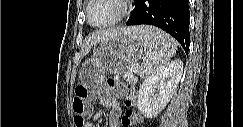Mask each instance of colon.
<instances>
[{
	"mask_svg": "<svg viewBox=\"0 0 243 127\" xmlns=\"http://www.w3.org/2000/svg\"><path fill=\"white\" fill-rule=\"evenodd\" d=\"M100 98L112 96L116 99L124 101L126 111L122 116L121 123L124 127L140 126L141 117L135 110L136 91L132 84L124 83L116 78H109L106 85L97 91ZM93 93L84 85H79L76 88V93L72 101L74 123L77 127H84L87 115L90 112L89 100Z\"/></svg>",
	"mask_w": 243,
	"mask_h": 127,
	"instance_id": "1",
	"label": "colon"
}]
</instances>
